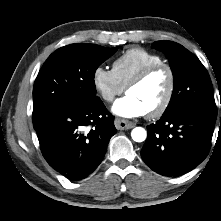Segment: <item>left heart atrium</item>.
<instances>
[{
  "mask_svg": "<svg viewBox=\"0 0 221 221\" xmlns=\"http://www.w3.org/2000/svg\"><path fill=\"white\" fill-rule=\"evenodd\" d=\"M112 111L124 118H135L147 114L145 106L134 96L127 94L118 99L112 106Z\"/></svg>",
  "mask_w": 221,
  "mask_h": 221,
  "instance_id": "obj_1",
  "label": "left heart atrium"
}]
</instances>
